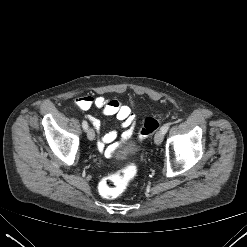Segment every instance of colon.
I'll list each match as a JSON object with an SVG mask.
<instances>
[{"instance_id": "obj_1", "label": "colon", "mask_w": 247, "mask_h": 247, "mask_svg": "<svg viewBox=\"0 0 247 247\" xmlns=\"http://www.w3.org/2000/svg\"><path fill=\"white\" fill-rule=\"evenodd\" d=\"M160 126L156 116H148L144 119L138 138L144 140L152 135ZM136 174V167L129 164L105 177L100 183V191L106 198L119 196Z\"/></svg>"}]
</instances>
